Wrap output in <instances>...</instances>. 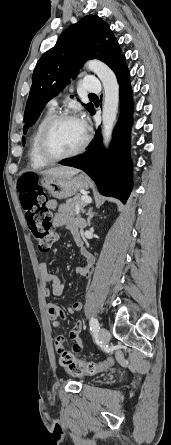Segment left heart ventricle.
I'll return each mask as SVG.
<instances>
[{"mask_svg": "<svg viewBox=\"0 0 171 445\" xmlns=\"http://www.w3.org/2000/svg\"><path fill=\"white\" fill-rule=\"evenodd\" d=\"M85 136V128L79 121L66 120L55 125L50 131L46 147L53 155L69 153L80 146Z\"/></svg>", "mask_w": 171, "mask_h": 445, "instance_id": "b2bd125f", "label": "left heart ventricle"}]
</instances>
